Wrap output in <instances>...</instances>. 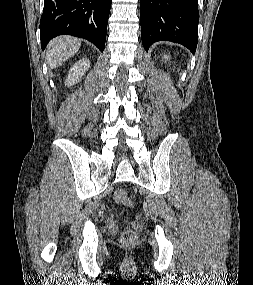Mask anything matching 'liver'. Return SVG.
Wrapping results in <instances>:
<instances>
[{"label": "liver", "instance_id": "obj_1", "mask_svg": "<svg viewBox=\"0 0 253 285\" xmlns=\"http://www.w3.org/2000/svg\"><path fill=\"white\" fill-rule=\"evenodd\" d=\"M81 41L69 36L53 39L47 46L46 58L50 69L61 66L67 59L78 52Z\"/></svg>", "mask_w": 253, "mask_h": 285}]
</instances>
